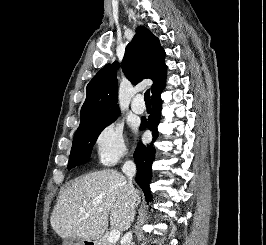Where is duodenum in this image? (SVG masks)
Wrapping results in <instances>:
<instances>
[{
  "mask_svg": "<svg viewBox=\"0 0 266 245\" xmlns=\"http://www.w3.org/2000/svg\"><path fill=\"white\" fill-rule=\"evenodd\" d=\"M82 242H95V237H82Z\"/></svg>",
  "mask_w": 266,
  "mask_h": 245,
  "instance_id": "obj_1",
  "label": "duodenum"
}]
</instances>
